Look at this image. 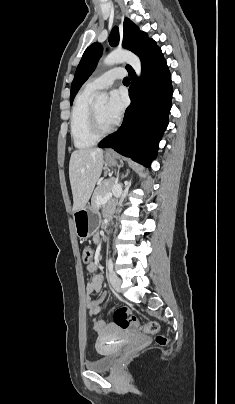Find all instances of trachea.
I'll use <instances>...</instances> for the list:
<instances>
[{"instance_id": "3493384b", "label": "trachea", "mask_w": 235, "mask_h": 404, "mask_svg": "<svg viewBox=\"0 0 235 404\" xmlns=\"http://www.w3.org/2000/svg\"><path fill=\"white\" fill-rule=\"evenodd\" d=\"M123 82H124V83H129V82H130V79H129L128 77H125V78L123 79Z\"/></svg>"}]
</instances>
